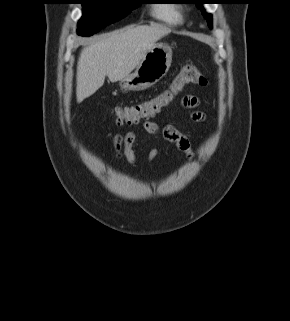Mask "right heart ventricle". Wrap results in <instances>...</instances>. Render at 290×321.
I'll use <instances>...</instances> for the list:
<instances>
[{"mask_svg":"<svg viewBox=\"0 0 290 321\" xmlns=\"http://www.w3.org/2000/svg\"><path fill=\"white\" fill-rule=\"evenodd\" d=\"M152 14L155 19L168 25H178L183 21L181 10L173 4H161L153 8Z\"/></svg>","mask_w":290,"mask_h":321,"instance_id":"1","label":"right heart ventricle"}]
</instances>
